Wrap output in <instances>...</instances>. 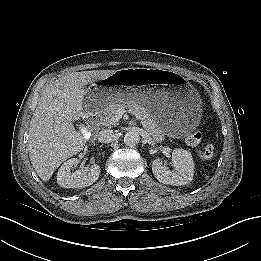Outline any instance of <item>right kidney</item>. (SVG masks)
Wrapping results in <instances>:
<instances>
[{
	"instance_id": "ca27d5eb",
	"label": "right kidney",
	"mask_w": 261,
	"mask_h": 261,
	"mask_svg": "<svg viewBox=\"0 0 261 261\" xmlns=\"http://www.w3.org/2000/svg\"><path fill=\"white\" fill-rule=\"evenodd\" d=\"M77 158H71L59 168L57 173V183L63 188H84L97 181L100 174V167L96 164L81 171L76 170L71 173L73 166L78 164Z\"/></svg>"
}]
</instances>
